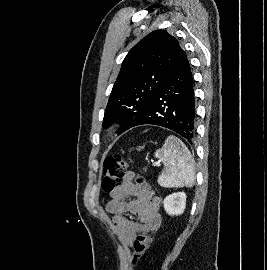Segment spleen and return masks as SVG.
Wrapping results in <instances>:
<instances>
[{
    "mask_svg": "<svg viewBox=\"0 0 267 270\" xmlns=\"http://www.w3.org/2000/svg\"><path fill=\"white\" fill-rule=\"evenodd\" d=\"M155 157L164 164L159 183L164 187H192L195 183V167L190 151L176 136L166 138Z\"/></svg>",
    "mask_w": 267,
    "mask_h": 270,
    "instance_id": "spleen-1",
    "label": "spleen"
}]
</instances>
